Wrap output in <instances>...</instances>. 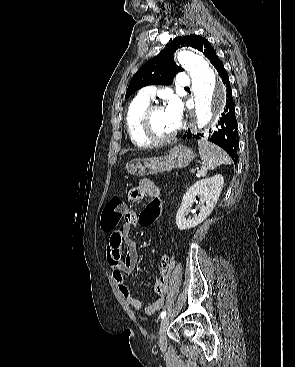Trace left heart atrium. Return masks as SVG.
<instances>
[{
  "mask_svg": "<svg viewBox=\"0 0 295 367\" xmlns=\"http://www.w3.org/2000/svg\"><path fill=\"white\" fill-rule=\"evenodd\" d=\"M165 111L171 122L178 127L180 125L183 112L180 100L177 97H170L165 107Z\"/></svg>",
  "mask_w": 295,
  "mask_h": 367,
  "instance_id": "1",
  "label": "left heart atrium"
}]
</instances>
